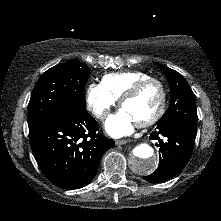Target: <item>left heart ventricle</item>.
Instances as JSON below:
<instances>
[{"mask_svg":"<svg viewBox=\"0 0 221 221\" xmlns=\"http://www.w3.org/2000/svg\"><path fill=\"white\" fill-rule=\"evenodd\" d=\"M161 92L157 84H148L136 97L127 101L122 109L137 123L153 116L159 108Z\"/></svg>","mask_w":221,"mask_h":221,"instance_id":"1","label":"left heart ventricle"}]
</instances>
